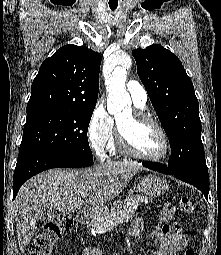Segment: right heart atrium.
Here are the masks:
<instances>
[{"instance_id":"obj_1","label":"right heart atrium","mask_w":221,"mask_h":255,"mask_svg":"<svg viewBox=\"0 0 221 255\" xmlns=\"http://www.w3.org/2000/svg\"><path fill=\"white\" fill-rule=\"evenodd\" d=\"M115 123L102 104L93 109L86 127V135L94 154L103 158L114 134Z\"/></svg>"}]
</instances>
